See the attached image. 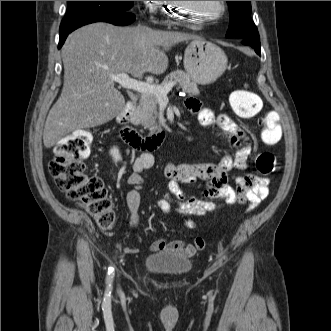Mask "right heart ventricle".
<instances>
[{
    "label": "right heart ventricle",
    "mask_w": 331,
    "mask_h": 331,
    "mask_svg": "<svg viewBox=\"0 0 331 331\" xmlns=\"http://www.w3.org/2000/svg\"><path fill=\"white\" fill-rule=\"evenodd\" d=\"M170 3H171V1H166L165 5L163 7L166 8V10H168L170 8Z\"/></svg>",
    "instance_id": "e07e8e85"
}]
</instances>
